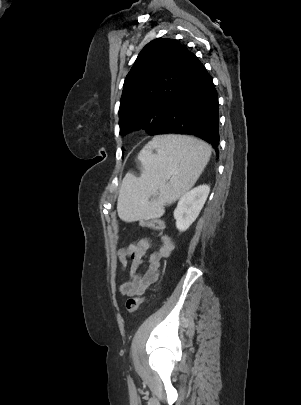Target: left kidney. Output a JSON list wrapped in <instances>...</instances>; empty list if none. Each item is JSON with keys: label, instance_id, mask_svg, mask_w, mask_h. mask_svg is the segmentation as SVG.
<instances>
[{"label": "left kidney", "instance_id": "left-kidney-1", "mask_svg": "<svg viewBox=\"0 0 301 405\" xmlns=\"http://www.w3.org/2000/svg\"><path fill=\"white\" fill-rule=\"evenodd\" d=\"M210 192L208 185H200L186 192L180 198L174 218L179 231H186L198 217Z\"/></svg>", "mask_w": 301, "mask_h": 405}]
</instances>
